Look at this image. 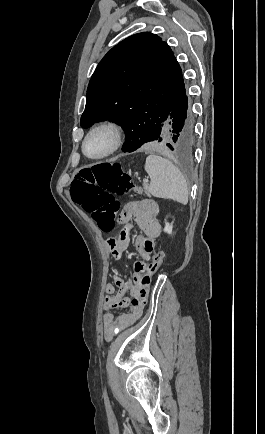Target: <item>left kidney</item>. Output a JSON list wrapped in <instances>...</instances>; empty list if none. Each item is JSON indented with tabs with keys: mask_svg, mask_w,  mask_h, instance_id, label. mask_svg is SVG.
I'll use <instances>...</instances> for the list:
<instances>
[{
	"mask_svg": "<svg viewBox=\"0 0 265 434\" xmlns=\"http://www.w3.org/2000/svg\"><path fill=\"white\" fill-rule=\"evenodd\" d=\"M172 228V224H168V222H166L164 232H166V234H172Z\"/></svg>",
	"mask_w": 265,
	"mask_h": 434,
	"instance_id": "obj_1",
	"label": "left kidney"
}]
</instances>
